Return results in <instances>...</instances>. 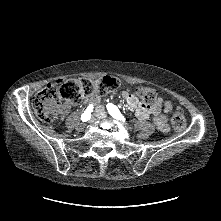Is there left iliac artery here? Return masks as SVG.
Returning <instances> with one entry per match:
<instances>
[{
    "mask_svg": "<svg viewBox=\"0 0 221 221\" xmlns=\"http://www.w3.org/2000/svg\"><path fill=\"white\" fill-rule=\"evenodd\" d=\"M107 110L113 118L118 119V120H122L123 122L125 121V118L121 114L119 109L115 105H113L112 103L107 104Z\"/></svg>",
    "mask_w": 221,
    "mask_h": 221,
    "instance_id": "44dca946",
    "label": "left iliac artery"
}]
</instances>
